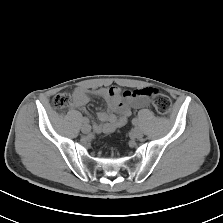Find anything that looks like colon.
<instances>
[{
  "label": "colon",
  "instance_id": "5ec220e1",
  "mask_svg": "<svg viewBox=\"0 0 223 223\" xmlns=\"http://www.w3.org/2000/svg\"><path fill=\"white\" fill-rule=\"evenodd\" d=\"M74 103L73 97L68 93H59L52 100L53 106L58 110L70 107ZM152 104L155 111L160 115H167L171 108L170 99L162 93L152 95Z\"/></svg>",
  "mask_w": 223,
  "mask_h": 223
}]
</instances>
